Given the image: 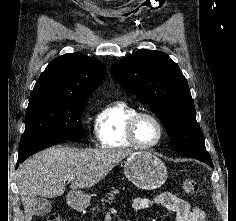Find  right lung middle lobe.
<instances>
[{"label":"right lung middle lobe","mask_w":236,"mask_h":221,"mask_svg":"<svg viewBox=\"0 0 236 221\" xmlns=\"http://www.w3.org/2000/svg\"><path fill=\"white\" fill-rule=\"evenodd\" d=\"M84 99L30 98L19 150L39 143L81 139Z\"/></svg>","instance_id":"1"}]
</instances>
